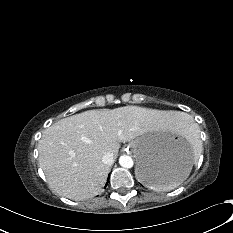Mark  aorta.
I'll list each match as a JSON object with an SVG mask.
<instances>
[{
    "label": "aorta",
    "instance_id": "obj_1",
    "mask_svg": "<svg viewBox=\"0 0 233 233\" xmlns=\"http://www.w3.org/2000/svg\"><path fill=\"white\" fill-rule=\"evenodd\" d=\"M119 164L124 168H132L134 165V162L132 158L128 155H122L119 158Z\"/></svg>",
    "mask_w": 233,
    "mask_h": 233
}]
</instances>
